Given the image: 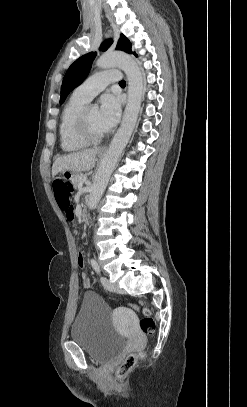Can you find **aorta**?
Masks as SVG:
<instances>
[{"instance_id": "762f6f07", "label": "aorta", "mask_w": 247, "mask_h": 407, "mask_svg": "<svg viewBox=\"0 0 247 407\" xmlns=\"http://www.w3.org/2000/svg\"><path fill=\"white\" fill-rule=\"evenodd\" d=\"M96 65L99 68L119 67L125 72L128 79V100L120 128L94 176L87 203L89 210H93L100 201L118 158L132 135L144 91L141 69L132 56L123 52H107L97 60Z\"/></svg>"}]
</instances>
